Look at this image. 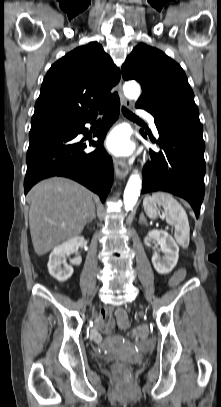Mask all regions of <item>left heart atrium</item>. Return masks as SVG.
I'll return each instance as SVG.
<instances>
[{
  "label": "left heart atrium",
  "instance_id": "obj_1",
  "mask_svg": "<svg viewBox=\"0 0 221 407\" xmlns=\"http://www.w3.org/2000/svg\"><path fill=\"white\" fill-rule=\"evenodd\" d=\"M105 146L108 151L117 156H126L133 151L130 135L124 128L115 129L106 139Z\"/></svg>",
  "mask_w": 221,
  "mask_h": 407
}]
</instances>
